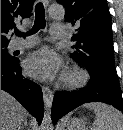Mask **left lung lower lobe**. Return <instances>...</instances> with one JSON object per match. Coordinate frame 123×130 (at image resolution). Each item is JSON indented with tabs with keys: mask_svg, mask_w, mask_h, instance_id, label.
Masks as SVG:
<instances>
[{
	"mask_svg": "<svg viewBox=\"0 0 123 130\" xmlns=\"http://www.w3.org/2000/svg\"><path fill=\"white\" fill-rule=\"evenodd\" d=\"M91 78L87 88L76 91H61L55 94L52 104V121L55 124L62 116L90 102H103L123 112V100L119 80L107 73L88 70Z\"/></svg>",
	"mask_w": 123,
	"mask_h": 130,
	"instance_id": "obj_1",
	"label": "left lung lower lobe"
}]
</instances>
